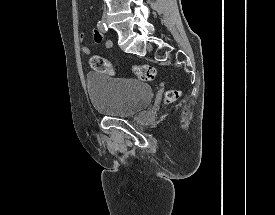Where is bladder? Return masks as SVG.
<instances>
[{
    "label": "bladder",
    "mask_w": 275,
    "mask_h": 215,
    "mask_svg": "<svg viewBox=\"0 0 275 215\" xmlns=\"http://www.w3.org/2000/svg\"><path fill=\"white\" fill-rule=\"evenodd\" d=\"M86 81L93 108L108 117L134 116L149 106L153 96L151 86L137 79L91 72Z\"/></svg>",
    "instance_id": "1"
}]
</instances>
